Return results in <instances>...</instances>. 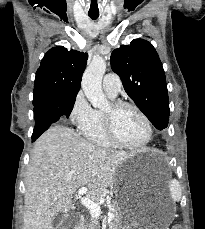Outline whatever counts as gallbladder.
Instances as JSON below:
<instances>
[{"label": "gallbladder", "mask_w": 205, "mask_h": 229, "mask_svg": "<svg viewBox=\"0 0 205 229\" xmlns=\"http://www.w3.org/2000/svg\"><path fill=\"white\" fill-rule=\"evenodd\" d=\"M71 217H65L63 212L57 214L52 222L53 229H69Z\"/></svg>", "instance_id": "gallbladder-1"}]
</instances>
